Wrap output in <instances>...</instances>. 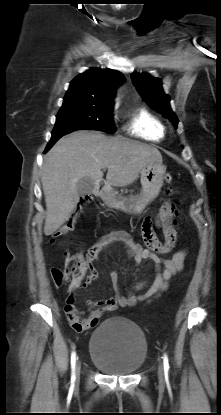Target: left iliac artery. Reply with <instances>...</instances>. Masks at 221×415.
I'll return each instance as SVG.
<instances>
[{
	"instance_id": "44dca946",
	"label": "left iliac artery",
	"mask_w": 221,
	"mask_h": 415,
	"mask_svg": "<svg viewBox=\"0 0 221 415\" xmlns=\"http://www.w3.org/2000/svg\"><path fill=\"white\" fill-rule=\"evenodd\" d=\"M163 365H164L165 375H168V371H169V361H168V357H167L166 354L163 357Z\"/></svg>"
}]
</instances>
